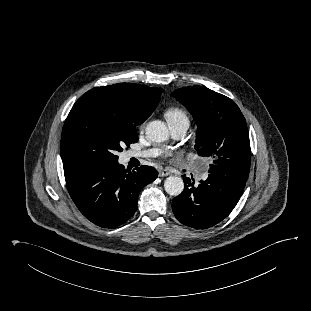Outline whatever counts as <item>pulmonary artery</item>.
Returning a JSON list of instances; mask_svg holds the SVG:
<instances>
[{
	"label": "pulmonary artery",
	"instance_id": "pulmonary-artery-1",
	"mask_svg": "<svg viewBox=\"0 0 311 311\" xmlns=\"http://www.w3.org/2000/svg\"><path fill=\"white\" fill-rule=\"evenodd\" d=\"M188 126L189 125L186 123H179L175 125H170L169 128H170L172 135L175 138L180 139L185 136ZM157 155H158V150L156 149L145 150L142 152L130 154L131 157H155ZM197 177L199 180L205 181L208 178V173L206 171L200 172L197 174Z\"/></svg>",
	"mask_w": 311,
	"mask_h": 311
}]
</instances>
